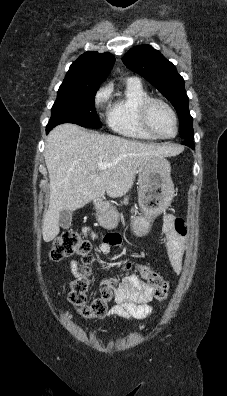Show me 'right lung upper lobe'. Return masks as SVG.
Wrapping results in <instances>:
<instances>
[{"mask_svg":"<svg viewBox=\"0 0 227 396\" xmlns=\"http://www.w3.org/2000/svg\"><path fill=\"white\" fill-rule=\"evenodd\" d=\"M115 62L112 54L96 51L82 54L71 66L63 82L100 84Z\"/></svg>","mask_w":227,"mask_h":396,"instance_id":"obj_1","label":"right lung upper lobe"}]
</instances>
